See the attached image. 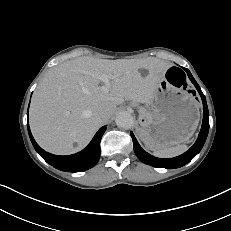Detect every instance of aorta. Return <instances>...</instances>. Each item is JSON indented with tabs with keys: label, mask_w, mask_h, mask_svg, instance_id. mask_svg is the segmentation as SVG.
<instances>
[{
	"label": "aorta",
	"mask_w": 231,
	"mask_h": 231,
	"mask_svg": "<svg viewBox=\"0 0 231 231\" xmlns=\"http://www.w3.org/2000/svg\"><path fill=\"white\" fill-rule=\"evenodd\" d=\"M115 123L118 127L130 129L134 124V119L131 114L127 112H120L115 118Z\"/></svg>",
	"instance_id": "aorta-1"
}]
</instances>
